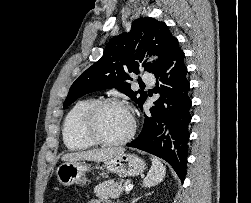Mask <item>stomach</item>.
<instances>
[{
	"label": "stomach",
	"mask_w": 251,
	"mask_h": 203,
	"mask_svg": "<svg viewBox=\"0 0 251 203\" xmlns=\"http://www.w3.org/2000/svg\"><path fill=\"white\" fill-rule=\"evenodd\" d=\"M103 167L108 171L123 176H136L144 172V160L133 154L121 151L106 160ZM91 164L84 160L65 162L56 169L58 182L63 186L73 184L85 185L90 182L89 174L92 172Z\"/></svg>",
	"instance_id": "1"
}]
</instances>
